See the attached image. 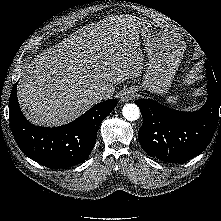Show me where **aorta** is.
Returning a JSON list of instances; mask_svg holds the SVG:
<instances>
[{
  "instance_id": "762f6f07",
  "label": "aorta",
  "mask_w": 221,
  "mask_h": 221,
  "mask_svg": "<svg viewBox=\"0 0 221 221\" xmlns=\"http://www.w3.org/2000/svg\"><path fill=\"white\" fill-rule=\"evenodd\" d=\"M123 117L128 121H135L140 117V109L136 104H126L122 109Z\"/></svg>"
}]
</instances>
